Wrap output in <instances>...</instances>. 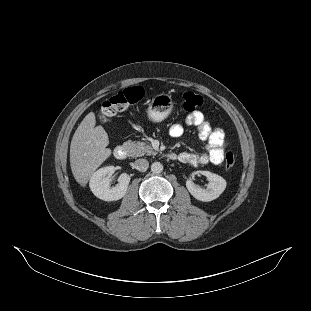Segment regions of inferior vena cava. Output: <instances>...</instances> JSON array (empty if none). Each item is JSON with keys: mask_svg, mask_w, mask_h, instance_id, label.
I'll return each mask as SVG.
<instances>
[{"mask_svg": "<svg viewBox=\"0 0 311 311\" xmlns=\"http://www.w3.org/2000/svg\"><path fill=\"white\" fill-rule=\"evenodd\" d=\"M135 167L141 172H145L149 167V162L146 159H137L135 161Z\"/></svg>", "mask_w": 311, "mask_h": 311, "instance_id": "602c4592", "label": "inferior vena cava"}]
</instances>
